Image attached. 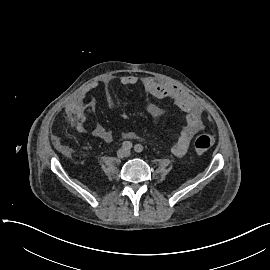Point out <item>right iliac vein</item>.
<instances>
[{
  "label": "right iliac vein",
  "mask_w": 270,
  "mask_h": 270,
  "mask_svg": "<svg viewBox=\"0 0 270 270\" xmlns=\"http://www.w3.org/2000/svg\"><path fill=\"white\" fill-rule=\"evenodd\" d=\"M125 154H126V150L124 148L119 149L117 152L118 158H123Z\"/></svg>",
  "instance_id": "1"
}]
</instances>
